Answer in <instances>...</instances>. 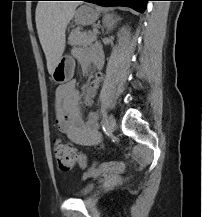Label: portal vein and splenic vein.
I'll list each match as a JSON object with an SVG mask.
<instances>
[{
	"label": "portal vein and splenic vein",
	"mask_w": 202,
	"mask_h": 217,
	"mask_svg": "<svg viewBox=\"0 0 202 217\" xmlns=\"http://www.w3.org/2000/svg\"><path fill=\"white\" fill-rule=\"evenodd\" d=\"M94 33L97 34V33H98V30H97V29H94Z\"/></svg>",
	"instance_id": "1"
}]
</instances>
